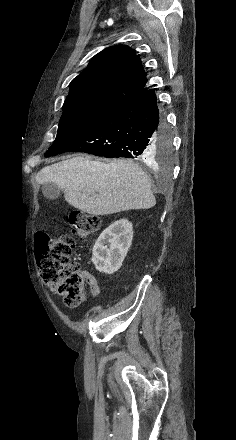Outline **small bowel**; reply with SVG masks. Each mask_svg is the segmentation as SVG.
Segmentation results:
<instances>
[{"label":"small bowel","mask_w":236,"mask_h":440,"mask_svg":"<svg viewBox=\"0 0 236 440\" xmlns=\"http://www.w3.org/2000/svg\"><path fill=\"white\" fill-rule=\"evenodd\" d=\"M85 275L86 282L89 286L90 294L96 297L100 294V286L97 279L89 272L83 271Z\"/></svg>","instance_id":"obj_1"}]
</instances>
